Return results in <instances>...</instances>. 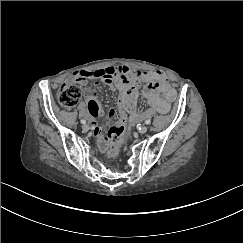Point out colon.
<instances>
[{
    "instance_id": "5ec220e1",
    "label": "colon",
    "mask_w": 243,
    "mask_h": 243,
    "mask_svg": "<svg viewBox=\"0 0 243 243\" xmlns=\"http://www.w3.org/2000/svg\"><path fill=\"white\" fill-rule=\"evenodd\" d=\"M138 82L137 79L123 81L119 96L120 117L116 124L110 129L107 143L109 144V155L116 157L120 147L125 142L127 127L131 117L137 115ZM81 98V92L76 85L64 84L58 91L57 99L59 104L70 109L74 107Z\"/></svg>"
}]
</instances>
